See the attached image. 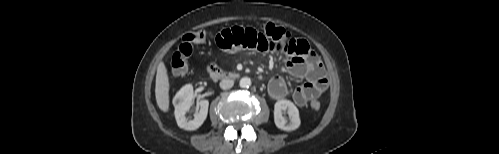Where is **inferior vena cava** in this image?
<instances>
[{
	"label": "inferior vena cava",
	"mask_w": 499,
	"mask_h": 154,
	"mask_svg": "<svg viewBox=\"0 0 499 154\" xmlns=\"http://www.w3.org/2000/svg\"><path fill=\"white\" fill-rule=\"evenodd\" d=\"M219 85L223 90L230 89L234 85V81L231 79H223Z\"/></svg>",
	"instance_id": "obj_1"
}]
</instances>
